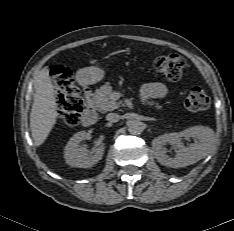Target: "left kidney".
Segmentation results:
<instances>
[{"instance_id":"left-kidney-1","label":"left kidney","mask_w":234,"mask_h":231,"mask_svg":"<svg viewBox=\"0 0 234 231\" xmlns=\"http://www.w3.org/2000/svg\"><path fill=\"white\" fill-rule=\"evenodd\" d=\"M193 137L195 142L189 147L181 143V137ZM172 145L176 150L174 158L166 155L165 145ZM218 145L214 131L209 127L194 126L178 133H168L153 139L152 146L158 162L171 168H181L196 163L204 156L213 153Z\"/></svg>"}]
</instances>
